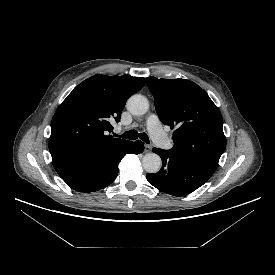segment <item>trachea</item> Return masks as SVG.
I'll return each instance as SVG.
<instances>
[{
  "label": "trachea",
  "instance_id": "trachea-1",
  "mask_svg": "<svg viewBox=\"0 0 275 275\" xmlns=\"http://www.w3.org/2000/svg\"><path fill=\"white\" fill-rule=\"evenodd\" d=\"M119 137L124 138V139H130V140H135L139 137L145 143H149L148 135L146 133L139 134L136 130L126 131L125 133H123Z\"/></svg>",
  "mask_w": 275,
  "mask_h": 275
}]
</instances>
